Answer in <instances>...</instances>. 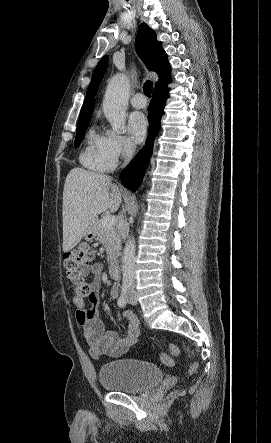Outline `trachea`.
Instances as JSON below:
<instances>
[{
	"instance_id": "trachea-1",
	"label": "trachea",
	"mask_w": 271,
	"mask_h": 443,
	"mask_svg": "<svg viewBox=\"0 0 271 443\" xmlns=\"http://www.w3.org/2000/svg\"><path fill=\"white\" fill-rule=\"evenodd\" d=\"M143 91H144V93H145V95H146L147 97H151V92H152V82H151L150 80H147V81L144 83Z\"/></svg>"
}]
</instances>
